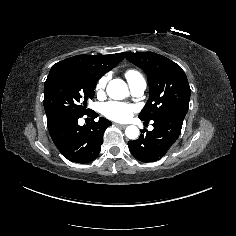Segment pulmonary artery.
Here are the masks:
<instances>
[{
    "label": "pulmonary artery",
    "instance_id": "obj_1",
    "mask_svg": "<svg viewBox=\"0 0 236 236\" xmlns=\"http://www.w3.org/2000/svg\"><path fill=\"white\" fill-rule=\"evenodd\" d=\"M129 86L135 96H142L146 90L147 84L145 79L140 76L130 80Z\"/></svg>",
    "mask_w": 236,
    "mask_h": 236
}]
</instances>
